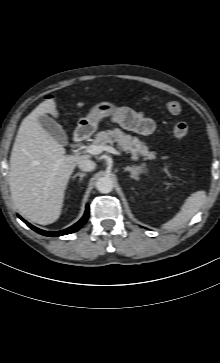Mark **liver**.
<instances>
[{
  "label": "liver",
  "instance_id": "obj_1",
  "mask_svg": "<svg viewBox=\"0 0 220 363\" xmlns=\"http://www.w3.org/2000/svg\"><path fill=\"white\" fill-rule=\"evenodd\" d=\"M55 110L56 103L46 100L23 119L10 156L8 182L14 205L40 225L60 217L71 174L81 159L90 158L66 155L63 146L43 129L38 118Z\"/></svg>",
  "mask_w": 220,
  "mask_h": 363
}]
</instances>
